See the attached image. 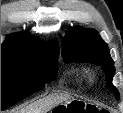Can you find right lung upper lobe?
I'll return each instance as SVG.
<instances>
[{
  "mask_svg": "<svg viewBox=\"0 0 123 113\" xmlns=\"http://www.w3.org/2000/svg\"><path fill=\"white\" fill-rule=\"evenodd\" d=\"M21 47L32 49L35 47H47L49 50L59 54V48L57 41H53L47 44L41 43L35 37L29 36L27 32H21L19 34H11L6 38V41L1 47Z\"/></svg>",
  "mask_w": 123,
  "mask_h": 113,
  "instance_id": "cb5924a9",
  "label": "right lung upper lobe"
}]
</instances>
